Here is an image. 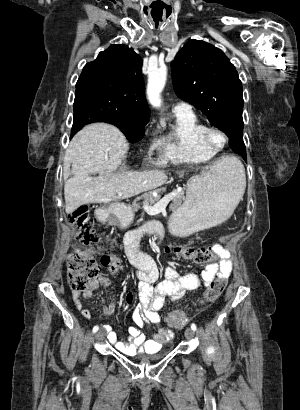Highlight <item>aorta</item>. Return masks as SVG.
Wrapping results in <instances>:
<instances>
[{
    "instance_id": "aorta-1",
    "label": "aorta",
    "mask_w": 300,
    "mask_h": 410,
    "mask_svg": "<svg viewBox=\"0 0 300 410\" xmlns=\"http://www.w3.org/2000/svg\"><path fill=\"white\" fill-rule=\"evenodd\" d=\"M167 79V68L161 66L153 70L148 75L147 97L154 107L161 106L160 94L165 86Z\"/></svg>"
}]
</instances>
